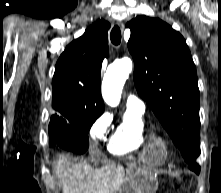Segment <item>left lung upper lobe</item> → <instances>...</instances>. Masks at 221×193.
Listing matches in <instances>:
<instances>
[{
  "label": "left lung upper lobe",
  "instance_id": "obj_1",
  "mask_svg": "<svg viewBox=\"0 0 221 193\" xmlns=\"http://www.w3.org/2000/svg\"><path fill=\"white\" fill-rule=\"evenodd\" d=\"M134 84L184 160L200 155L199 89L192 56L183 36L158 18L138 16L127 25Z\"/></svg>",
  "mask_w": 221,
  "mask_h": 193
}]
</instances>
